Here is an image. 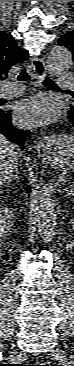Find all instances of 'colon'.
<instances>
[{
  "instance_id": "colon-1",
  "label": "colon",
  "mask_w": 74,
  "mask_h": 366,
  "mask_svg": "<svg viewBox=\"0 0 74 366\" xmlns=\"http://www.w3.org/2000/svg\"><path fill=\"white\" fill-rule=\"evenodd\" d=\"M31 366H50L47 363H43V362H37L35 365H31Z\"/></svg>"
}]
</instances>
